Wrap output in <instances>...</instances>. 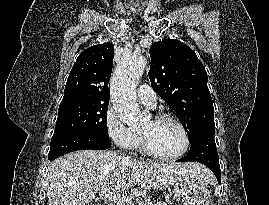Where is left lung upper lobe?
Wrapping results in <instances>:
<instances>
[{
  "label": "left lung upper lobe",
  "instance_id": "1",
  "mask_svg": "<svg viewBox=\"0 0 269 205\" xmlns=\"http://www.w3.org/2000/svg\"><path fill=\"white\" fill-rule=\"evenodd\" d=\"M152 88L176 112L190 141L215 130L207 72L195 52L179 40L165 39L150 47Z\"/></svg>",
  "mask_w": 269,
  "mask_h": 205
}]
</instances>
